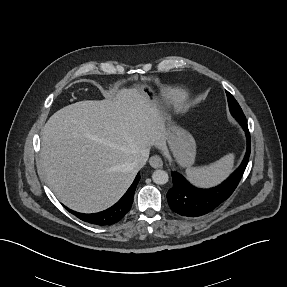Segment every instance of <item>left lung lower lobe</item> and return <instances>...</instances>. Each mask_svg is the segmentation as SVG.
Here are the masks:
<instances>
[{"instance_id":"1","label":"left lung lower lobe","mask_w":287,"mask_h":287,"mask_svg":"<svg viewBox=\"0 0 287 287\" xmlns=\"http://www.w3.org/2000/svg\"><path fill=\"white\" fill-rule=\"evenodd\" d=\"M236 120L246 133L247 151L239 168L223 183L210 189H199L191 185L179 173H171L173 186L167 193V200L171 210L178 215L186 218L204 216L227 200L236 189L248 164L251 149V139L246 118Z\"/></svg>"}]
</instances>
